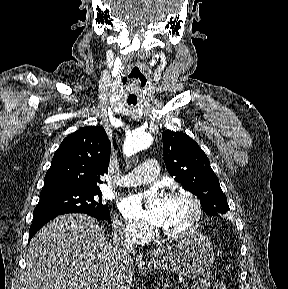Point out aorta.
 I'll use <instances>...</instances> for the list:
<instances>
[{
	"label": "aorta",
	"mask_w": 288,
	"mask_h": 289,
	"mask_svg": "<svg viewBox=\"0 0 288 289\" xmlns=\"http://www.w3.org/2000/svg\"><path fill=\"white\" fill-rule=\"evenodd\" d=\"M152 137L146 132H133L130 134L124 143V154L127 157L134 155L135 153L150 146Z\"/></svg>",
	"instance_id": "1"
}]
</instances>
